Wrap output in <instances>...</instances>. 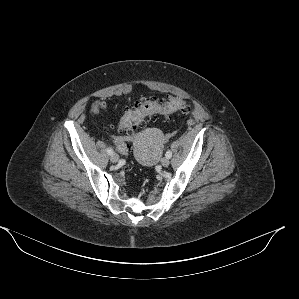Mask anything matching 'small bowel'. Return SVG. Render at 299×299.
I'll list each match as a JSON object with an SVG mask.
<instances>
[{"instance_id": "obj_1", "label": "small bowel", "mask_w": 299, "mask_h": 299, "mask_svg": "<svg viewBox=\"0 0 299 299\" xmlns=\"http://www.w3.org/2000/svg\"><path fill=\"white\" fill-rule=\"evenodd\" d=\"M112 140L114 142V144L117 146L118 143L120 142H124V143H129L131 142V138L130 137H121V136H113ZM119 150V149H118ZM120 151V150H119ZM121 152V151H120ZM122 154H124L123 152H121Z\"/></svg>"}]
</instances>
